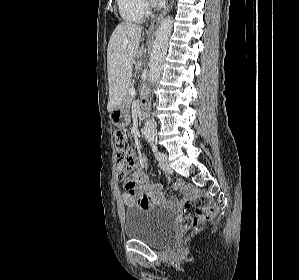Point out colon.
<instances>
[{"label": "colon", "mask_w": 299, "mask_h": 280, "mask_svg": "<svg viewBox=\"0 0 299 280\" xmlns=\"http://www.w3.org/2000/svg\"><path fill=\"white\" fill-rule=\"evenodd\" d=\"M114 139L118 163V176L123 179L133 167V153L128 146V137L124 131L116 130L114 132ZM181 187L190 195L189 201L185 204V211L177 216V221L183 229H195L216 216L217 208L215 205L206 202L201 194L192 186L181 184ZM191 206H195L196 208L194 214L188 212Z\"/></svg>", "instance_id": "1"}]
</instances>
